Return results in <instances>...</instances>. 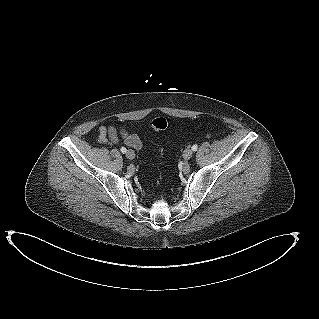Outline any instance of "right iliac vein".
<instances>
[{"mask_svg": "<svg viewBox=\"0 0 319 319\" xmlns=\"http://www.w3.org/2000/svg\"><path fill=\"white\" fill-rule=\"evenodd\" d=\"M126 157L130 160L134 159L135 158V152L131 149H129L127 152H126Z\"/></svg>", "mask_w": 319, "mask_h": 319, "instance_id": "right-iliac-vein-1", "label": "right iliac vein"}]
</instances>
